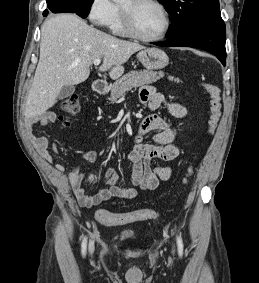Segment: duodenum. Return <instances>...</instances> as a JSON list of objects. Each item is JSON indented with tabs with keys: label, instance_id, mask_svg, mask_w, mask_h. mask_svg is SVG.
<instances>
[{
	"label": "duodenum",
	"instance_id": "obj_1",
	"mask_svg": "<svg viewBox=\"0 0 259 283\" xmlns=\"http://www.w3.org/2000/svg\"><path fill=\"white\" fill-rule=\"evenodd\" d=\"M93 90L97 93V94H105L108 90V85L106 82L102 81V80H96L93 83Z\"/></svg>",
	"mask_w": 259,
	"mask_h": 283
}]
</instances>
